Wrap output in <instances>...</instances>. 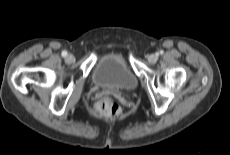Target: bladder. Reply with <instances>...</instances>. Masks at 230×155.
<instances>
[{"mask_svg":"<svg viewBox=\"0 0 230 155\" xmlns=\"http://www.w3.org/2000/svg\"><path fill=\"white\" fill-rule=\"evenodd\" d=\"M95 85L120 91L134 90L138 79L127 63L117 54H105L95 64L92 72Z\"/></svg>","mask_w":230,"mask_h":155,"instance_id":"1","label":"bladder"}]
</instances>
